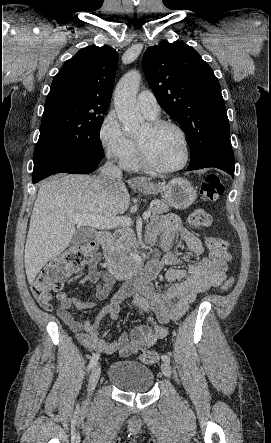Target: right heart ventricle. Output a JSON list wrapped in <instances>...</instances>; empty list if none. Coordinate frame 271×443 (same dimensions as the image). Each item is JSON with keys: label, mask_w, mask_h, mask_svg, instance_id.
I'll use <instances>...</instances> for the list:
<instances>
[{"label": "right heart ventricle", "mask_w": 271, "mask_h": 443, "mask_svg": "<svg viewBox=\"0 0 271 443\" xmlns=\"http://www.w3.org/2000/svg\"><path fill=\"white\" fill-rule=\"evenodd\" d=\"M155 118L156 117L149 118V119L151 120V119H155ZM131 140L133 143V151H132L131 156L124 163V165L128 169L136 170V169H139L142 166V164L140 162L136 140H134V139H131Z\"/></svg>", "instance_id": "right-heart-ventricle-1"}]
</instances>
